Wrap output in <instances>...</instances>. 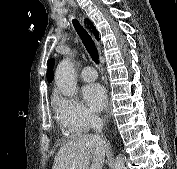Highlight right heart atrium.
<instances>
[{"label": "right heart atrium", "instance_id": "right-heart-atrium-1", "mask_svg": "<svg viewBox=\"0 0 177 169\" xmlns=\"http://www.w3.org/2000/svg\"><path fill=\"white\" fill-rule=\"evenodd\" d=\"M54 108L60 126L72 136L88 130L97 120V116L75 98L57 96Z\"/></svg>", "mask_w": 177, "mask_h": 169}]
</instances>
